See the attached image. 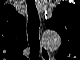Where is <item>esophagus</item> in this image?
<instances>
[{
    "mask_svg": "<svg viewBox=\"0 0 80 60\" xmlns=\"http://www.w3.org/2000/svg\"><path fill=\"white\" fill-rule=\"evenodd\" d=\"M42 50H43V49H41V51H40V52H41V55H42Z\"/></svg>",
    "mask_w": 80,
    "mask_h": 60,
    "instance_id": "obj_1",
    "label": "esophagus"
}]
</instances>
